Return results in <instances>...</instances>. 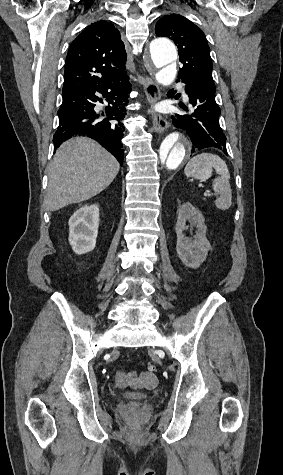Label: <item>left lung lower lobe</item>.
Wrapping results in <instances>:
<instances>
[{
  "instance_id": "obj_1",
  "label": "left lung lower lobe",
  "mask_w": 283,
  "mask_h": 475,
  "mask_svg": "<svg viewBox=\"0 0 283 475\" xmlns=\"http://www.w3.org/2000/svg\"><path fill=\"white\" fill-rule=\"evenodd\" d=\"M192 104L189 115L172 116L173 124L186 130L192 142V152L203 148H218L225 154L226 137L219 124L220 108L215 101V86L197 81L180 80ZM187 110L186 107H181Z\"/></svg>"
}]
</instances>
